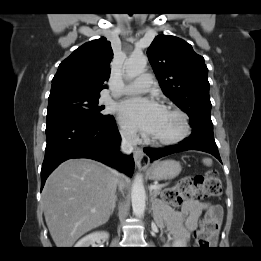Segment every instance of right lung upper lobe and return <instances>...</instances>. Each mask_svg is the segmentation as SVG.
Listing matches in <instances>:
<instances>
[{"label":"right lung upper lobe","instance_id":"obj_1","mask_svg":"<svg viewBox=\"0 0 261 261\" xmlns=\"http://www.w3.org/2000/svg\"><path fill=\"white\" fill-rule=\"evenodd\" d=\"M112 55L110 42L104 37L83 44L60 63L52 79L50 96L75 92L100 97L110 77Z\"/></svg>","mask_w":261,"mask_h":261}]
</instances>
